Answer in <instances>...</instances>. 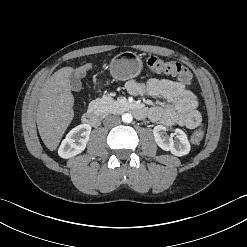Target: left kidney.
Instances as JSON below:
<instances>
[{
    "instance_id": "1",
    "label": "left kidney",
    "mask_w": 247,
    "mask_h": 247,
    "mask_svg": "<svg viewBox=\"0 0 247 247\" xmlns=\"http://www.w3.org/2000/svg\"><path fill=\"white\" fill-rule=\"evenodd\" d=\"M153 135L157 145L164 151H170L175 156H183L189 153L190 143L186 134L181 129L168 136L166 128L162 125L155 126ZM175 136L176 140L173 139Z\"/></svg>"
}]
</instances>
